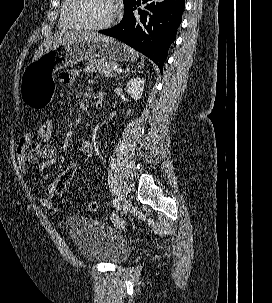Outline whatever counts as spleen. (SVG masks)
<instances>
[{
    "mask_svg": "<svg viewBox=\"0 0 272 303\" xmlns=\"http://www.w3.org/2000/svg\"><path fill=\"white\" fill-rule=\"evenodd\" d=\"M140 64H141L142 67L144 66V60L143 59L141 60Z\"/></svg>",
    "mask_w": 272,
    "mask_h": 303,
    "instance_id": "spleen-1",
    "label": "spleen"
}]
</instances>
